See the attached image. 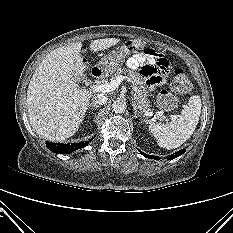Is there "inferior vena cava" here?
I'll return each mask as SVG.
<instances>
[{
  "label": "inferior vena cava",
  "instance_id": "602c4592",
  "mask_svg": "<svg viewBox=\"0 0 233 233\" xmlns=\"http://www.w3.org/2000/svg\"><path fill=\"white\" fill-rule=\"evenodd\" d=\"M107 100H108L107 95H105L103 93L96 94L92 97V101L96 105H103L107 102Z\"/></svg>",
  "mask_w": 233,
  "mask_h": 233
}]
</instances>
